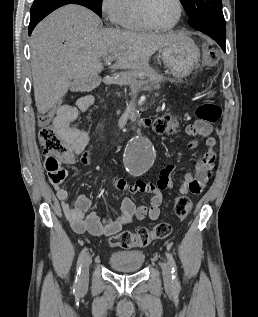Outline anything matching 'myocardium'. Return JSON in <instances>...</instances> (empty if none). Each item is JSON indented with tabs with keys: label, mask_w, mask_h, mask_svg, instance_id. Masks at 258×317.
I'll return each instance as SVG.
<instances>
[{
	"label": "myocardium",
	"mask_w": 258,
	"mask_h": 317,
	"mask_svg": "<svg viewBox=\"0 0 258 317\" xmlns=\"http://www.w3.org/2000/svg\"><path fill=\"white\" fill-rule=\"evenodd\" d=\"M155 0H144L139 10V20L141 25L149 31H168L177 26L183 14V6L181 0H174L178 7V15L176 20L169 26H155L148 18V10L152 2Z\"/></svg>",
	"instance_id": "obj_1"
}]
</instances>
